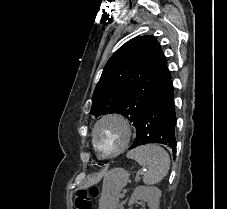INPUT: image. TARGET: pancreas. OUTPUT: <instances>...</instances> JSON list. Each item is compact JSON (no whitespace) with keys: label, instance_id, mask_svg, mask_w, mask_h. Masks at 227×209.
I'll list each match as a JSON object with an SVG mask.
<instances>
[{"label":"pancreas","instance_id":"pancreas-1","mask_svg":"<svg viewBox=\"0 0 227 209\" xmlns=\"http://www.w3.org/2000/svg\"><path fill=\"white\" fill-rule=\"evenodd\" d=\"M121 203L118 205V209H125V204L128 202L126 199L120 201Z\"/></svg>","mask_w":227,"mask_h":209}]
</instances>
